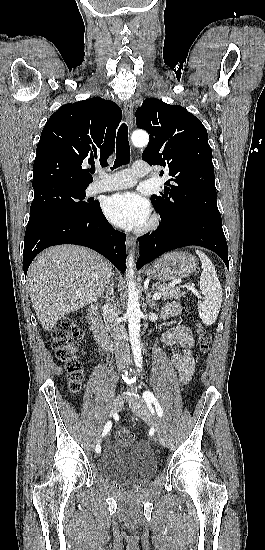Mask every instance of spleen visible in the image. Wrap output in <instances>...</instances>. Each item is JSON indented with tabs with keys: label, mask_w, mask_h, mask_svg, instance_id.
I'll list each match as a JSON object with an SVG mask.
<instances>
[{
	"label": "spleen",
	"mask_w": 265,
	"mask_h": 550,
	"mask_svg": "<svg viewBox=\"0 0 265 550\" xmlns=\"http://www.w3.org/2000/svg\"><path fill=\"white\" fill-rule=\"evenodd\" d=\"M202 264L200 277V290L205 296L204 301L198 302V312L202 322L212 325L217 319L222 303V287L217 277L215 267L208 256L200 250H196Z\"/></svg>",
	"instance_id": "1"
}]
</instances>
